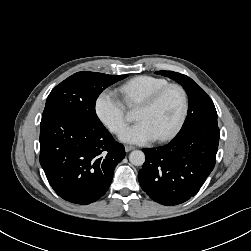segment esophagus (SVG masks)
<instances>
[{
  "mask_svg": "<svg viewBox=\"0 0 251 251\" xmlns=\"http://www.w3.org/2000/svg\"><path fill=\"white\" fill-rule=\"evenodd\" d=\"M133 149H134L133 146H129V145H126V146H125V151H126V152H130V151L133 150Z\"/></svg>",
  "mask_w": 251,
  "mask_h": 251,
  "instance_id": "esophagus-1",
  "label": "esophagus"
}]
</instances>
